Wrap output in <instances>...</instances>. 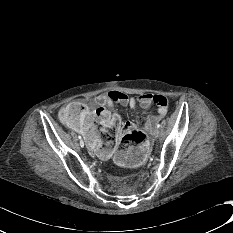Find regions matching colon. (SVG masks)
Here are the masks:
<instances>
[{"instance_id":"colon-1","label":"colon","mask_w":233,"mask_h":233,"mask_svg":"<svg viewBox=\"0 0 233 233\" xmlns=\"http://www.w3.org/2000/svg\"><path fill=\"white\" fill-rule=\"evenodd\" d=\"M83 105L77 102H73L65 106L61 111V117L63 121L68 124H74L79 122L82 115ZM107 113L104 110H98L96 115L98 118L103 119V116ZM122 128L124 129V135L120 141V149H132L138 144H144L147 136L146 133L136 128L133 123H125Z\"/></svg>"}]
</instances>
